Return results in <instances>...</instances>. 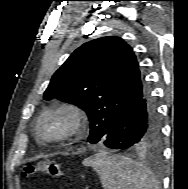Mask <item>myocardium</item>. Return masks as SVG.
<instances>
[{
    "mask_svg": "<svg viewBox=\"0 0 188 189\" xmlns=\"http://www.w3.org/2000/svg\"><path fill=\"white\" fill-rule=\"evenodd\" d=\"M50 116H60L65 122L63 129L54 136H45L40 132L41 123ZM87 124L84 110L76 103L60 101L41 110L34 121L33 133L35 138L42 143H56L73 139L83 133Z\"/></svg>",
    "mask_w": 188,
    "mask_h": 189,
    "instance_id": "myocardium-1",
    "label": "myocardium"
}]
</instances>
